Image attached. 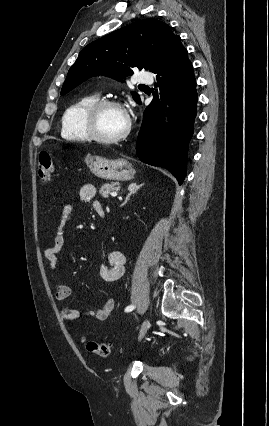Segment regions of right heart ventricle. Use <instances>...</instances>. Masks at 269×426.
<instances>
[{
	"label": "right heart ventricle",
	"mask_w": 269,
	"mask_h": 426,
	"mask_svg": "<svg viewBox=\"0 0 269 426\" xmlns=\"http://www.w3.org/2000/svg\"><path fill=\"white\" fill-rule=\"evenodd\" d=\"M96 94H87L69 105L62 116V136L73 141H87L89 136L84 127V114L87 108L98 100Z\"/></svg>",
	"instance_id": "obj_1"
}]
</instances>
